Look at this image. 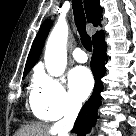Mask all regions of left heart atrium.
Segmentation results:
<instances>
[{"label": "left heart atrium", "mask_w": 136, "mask_h": 136, "mask_svg": "<svg viewBox=\"0 0 136 136\" xmlns=\"http://www.w3.org/2000/svg\"><path fill=\"white\" fill-rule=\"evenodd\" d=\"M93 87V78L86 67L74 68L69 76V88L72 96L83 101L87 98Z\"/></svg>", "instance_id": "obj_1"}]
</instances>
